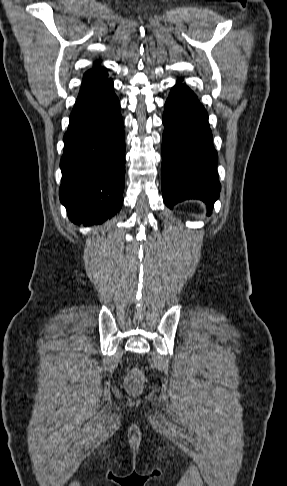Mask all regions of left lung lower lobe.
Wrapping results in <instances>:
<instances>
[{"label": "left lung lower lobe", "instance_id": "0a47b994", "mask_svg": "<svg viewBox=\"0 0 287 486\" xmlns=\"http://www.w3.org/2000/svg\"><path fill=\"white\" fill-rule=\"evenodd\" d=\"M162 140V192L168 207L186 199L205 202L209 211L219 197L217 152L208 114L195 93L182 83L165 103Z\"/></svg>", "mask_w": 287, "mask_h": 486}]
</instances>
